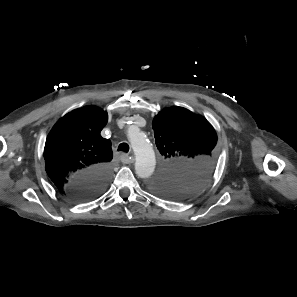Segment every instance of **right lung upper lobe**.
Returning a JSON list of instances; mask_svg holds the SVG:
<instances>
[{"label": "right lung upper lobe", "instance_id": "cb5924a9", "mask_svg": "<svg viewBox=\"0 0 297 297\" xmlns=\"http://www.w3.org/2000/svg\"><path fill=\"white\" fill-rule=\"evenodd\" d=\"M107 121L106 111L86 106L64 116L50 131L44 148L45 169L60 192L78 173L109 167L111 141L100 135Z\"/></svg>", "mask_w": 297, "mask_h": 297}]
</instances>
